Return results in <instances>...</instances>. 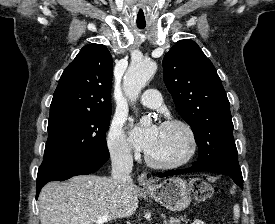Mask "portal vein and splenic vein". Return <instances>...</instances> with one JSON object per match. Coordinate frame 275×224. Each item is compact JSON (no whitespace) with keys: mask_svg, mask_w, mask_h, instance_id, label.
<instances>
[{"mask_svg":"<svg viewBox=\"0 0 275 224\" xmlns=\"http://www.w3.org/2000/svg\"><path fill=\"white\" fill-rule=\"evenodd\" d=\"M109 220H110L109 216H103V217H98L95 222L96 224H103Z\"/></svg>","mask_w":275,"mask_h":224,"instance_id":"obj_1","label":"portal vein and splenic vein"}]
</instances>
